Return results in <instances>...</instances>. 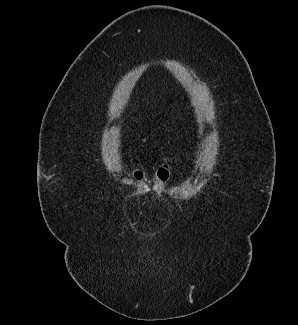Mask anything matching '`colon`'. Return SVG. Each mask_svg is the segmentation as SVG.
Listing matches in <instances>:
<instances>
[{"label": "colon", "mask_w": 298, "mask_h": 325, "mask_svg": "<svg viewBox=\"0 0 298 325\" xmlns=\"http://www.w3.org/2000/svg\"><path fill=\"white\" fill-rule=\"evenodd\" d=\"M132 173L134 179L136 180L138 190L142 195H145L150 191H154L155 193H157L162 191L167 185V182L170 177V166L166 162L158 168L155 174L154 184L152 186L148 183L145 178L144 172L140 168L134 166L132 168Z\"/></svg>", "instance_id": "5ec220e1"}]
</instances>
